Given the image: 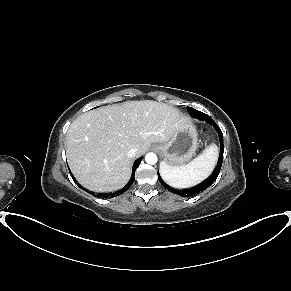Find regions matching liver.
I'll use <instances>...</instances> for the list:
<instances>
[{
	"instance_id": "1",
	"label": "liver",
	"mask_w": 291,
	"mask_h": 291,
	"mask_svg": "<svg viewBox=\"0 0 291 291\" xmlns=\"http://www.w3.org/2000/svg\"><path fill=\"white\" fill-rule=\"evenodd\" d=\"M189 118L168 104L127 101L80 115L66 135L69 167L89 190L112 192L124 187L132 172L127 152L142 156L156 142H167Z\"/></svg>"
}]
</instances>
